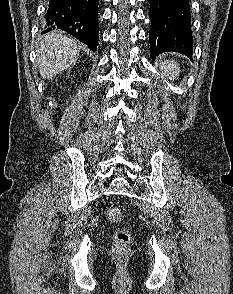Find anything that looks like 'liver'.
Returning a JSON list of instances; mask_svg holds the SVG:
<instances>
[{"label":"liver","mask_w":233,"mask_h":294,"mask_svg":"<svg viewBox=\"0 0 233 294\" xmlns=\"http://www.w3.org/2000/svg\"><path fill=\"white\" fill-rule=\"evenodd\" d=\"M79 46L73 39L56 32L44 35L36 49V62L43 79H51L67 70L79 56Z\"/></svg>","instance_id":"1"}]
</instances>
